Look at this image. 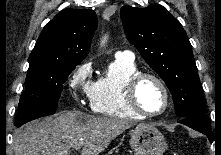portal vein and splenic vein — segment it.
Listing matches in <instances>:
<instances>
[{
	"label": "portal vein and splenic vein",
	"instance_id": "portal-vein-and-splenic-vein-1",
	"mask_svg": "<svg viewBox=\"0 0 221 155\" xmlns=\"http://www.w3.org/2000/svg\"><path fill=\"white\" fill-rule=\"evenodd\" d=\"M81 148V145L76 146L74 149L79 150Z\"/></svg>",
	"mask_w": 221,
	"mask_h": 155
}]
</instances>
